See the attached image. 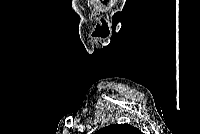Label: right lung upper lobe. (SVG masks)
I'll use <instances>...</instances> for the list:
<instances>
[{"label":"right lung upper lobe","instance_id":"1","mask_svg":"<svg viewBox=\"0 0 200 134\" xmlns=\"http://www.w3.org/2000/svg\"><path fill=\"white\" fill-rule=\"evenodd\" d=\"M98 134H140L141 132L128 124H114L100 129Z\"/></svg>","mask_w":200,"mask_h":134}]
</instances>
